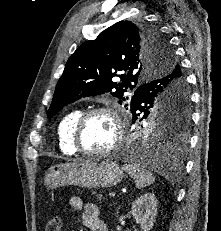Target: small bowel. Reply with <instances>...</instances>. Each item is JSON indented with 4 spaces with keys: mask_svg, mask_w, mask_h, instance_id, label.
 <instances>
[{
    "mask_svg": "<svg viewBox=\"0 0 221 231\" xmlns=\"http://www.w3.org/2000/svg\"><path fill=\"white\" fill-rule=\"evenodd\" d=\"M73 212L83 209V224L90 231H108L105 221L100 217L99 208L94 203L84 204L78 196H73L69 201Z\"/></svg>",
    "mask_w": 221,
    "mask_h": 231,
    "instance_id": "c3829d8e",
    "label": "small bowel"
}]
</instances>
